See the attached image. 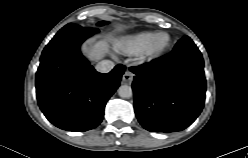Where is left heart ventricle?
<instances>
[{"instance_id":"1","label":"left heart ventricle","mask_w":248,"mask_h":158,"mask_svg":"<svg viewBox=\"0 0 248 158\" xmlns=\"http://www.w3.org/2000/svg\"><path fill=\"white\" fill-rule=\"evenodd\" d=\"M165 43H166V37H165V36L159 37V38L157 39V41H156V45H157V46H161V45H163V44H165Z\"/></svg>"}]
</instances>
